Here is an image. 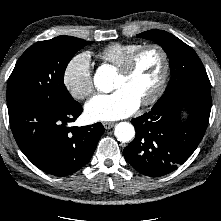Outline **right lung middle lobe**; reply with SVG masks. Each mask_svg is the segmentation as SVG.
Masks as SVG:
<instances>
[{"instance_id":"right-lung-middle-lobe-1","label":"right lung middle lobe","mask_w":221,"mask_h":221,"mask_svg":"<svg viewBox=\"0 0 221 221\" xmlns=\"http://www.w3.org/2000/svg\"><path fill=\"white\" fill-rule=\"evenodd\" d=\"M58 36L30 46L17 61L7 83V105L36 99L47 105L74 101L64 85L65 69L74 54L91 44Z\"/></svg>"}]
</instances>
